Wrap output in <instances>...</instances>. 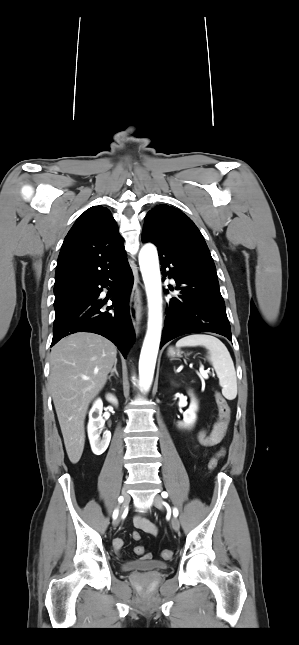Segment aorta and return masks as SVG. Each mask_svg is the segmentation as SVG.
Listing matches in <instances>:
<instances>
[{"label": "aorta", "mask_w": 299, "mask_h": 645, "mask_svg": "<svg viewBox=\"0 0 299 645\" xmlns=\"http://www.w3.org/2000/svg\"><path fill=\"white\" fill-rule=\"evenodd\" d=\"M139 265L148 300V328L139 359V377L145 390L152 384L162 330V287L157 249L144 245Z\"/></svg>", "instance_id": "762f6f07"}]
</instances>
